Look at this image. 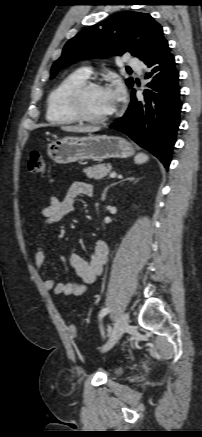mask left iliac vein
Returning a JSON list of instances; mask_svg holds the SVG:
<instances>
[{
  "instance_id": "1",
  "label": "left iliac vein",
  "mask_w": 202,
  "mask_h": 437,
  "mask_svg": "<svg viewBox=\"0 0 202 437\" xmlns=\"http://www.w3.org/2000/svg\"><path fill=\"white\" fill-rule=\"evenodd\" d=\"M128 320H129L128 313H123L118 318L114 328L110 333L109 340L103 347L104 352L111 349L116 344V342L121 338V336L125 333V331L128 328Z\"/></svg>"
}]
</instances>
